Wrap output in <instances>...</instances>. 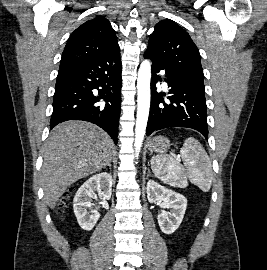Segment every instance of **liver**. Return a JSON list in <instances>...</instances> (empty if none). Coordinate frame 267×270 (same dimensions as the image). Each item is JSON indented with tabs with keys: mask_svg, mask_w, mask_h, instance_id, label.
I'll use <instances>...</instances> for the list:
<instances>
[{
	"mask_svg": "<svg viewBox=\"0 0 267 270\" xmlns=\"http://www.w3.org/2000/svg\"><path fill=\"white\" fill-rule=\"evenodd\" d=\"M114 143L99 127L83 121L56 126L43 150L41 182L46 204L54 209L65 190L111 161Z\"/></svg>",
	"mask_w": 267,
	"mask_h": 270,
	"instance_id": "liver-1",
	"label": "liver"
}]
</instances>
